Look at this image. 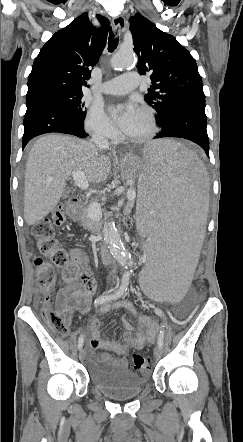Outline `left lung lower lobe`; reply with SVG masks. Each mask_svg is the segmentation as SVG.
Here are the masks:
<instances>
[{
    "mask_svg": "<svg viewBox=\"0 0 243 442\" xmlns=\"http://www.w3.org/2000/svg\"><path fill=\"white\" fill-rule=\"evenodd\" d=\"M158 125L162 127V131L154 138L188 139L200 145L209 156L204 94H192L178 99Z\"/></svg>",
    "mask_w": 243,
    "mask_h": 442,
    "instance_id": "left-lung-lower-lobe-1",
    "label": "left lung lower lobe"
}]
</instances>
